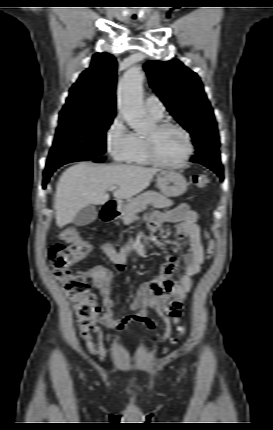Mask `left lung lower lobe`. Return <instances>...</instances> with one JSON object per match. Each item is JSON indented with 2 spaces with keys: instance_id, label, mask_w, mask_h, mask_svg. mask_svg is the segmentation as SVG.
<instances>
[{
  "instance_id": "left-lung-lower-lobe-1",
  "label": "left lung lower lobe",
  "mask_w": 273,
  "mask_h": 430,
  "mask_svg": "<svg viewBox=\"0 0 273 430\" xmlns=\"http://www.w3.org/2000/svg\"><path fill=\"white\" fill-rule=\"evenodd\" d=\"M190 161L205 165L217 173L221 180L224 179L223 167L220 161V152L218 148H205L200 153L193 156Z\"/></svg>"
}]
</instances>
